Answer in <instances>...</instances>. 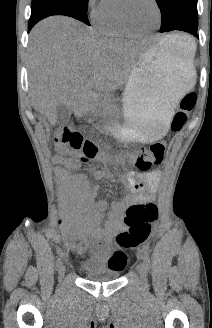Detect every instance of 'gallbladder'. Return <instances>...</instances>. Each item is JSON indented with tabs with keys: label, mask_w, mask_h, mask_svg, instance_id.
Returning a JSON list of instances; mask_svg holds the SVG:
<instances>
[{
	"label": "gallbladder",
	"mask_w": 212,
	"mask_h": 328,
	"mask_svg": "<svg viewBox=\"0 0 212 328\" xmlns=\"http://www.w3.org/2000/svg\"><path fill=\"white\" fill-rule=\"evenodd\" d=\"M57 113V124L64 125L69 122L71 116V108L59 104L56 108Z\"/></svg>",
	"instance_id": "obj_1"
}]
</instances>
